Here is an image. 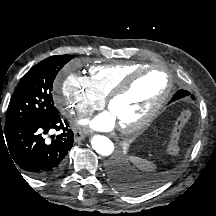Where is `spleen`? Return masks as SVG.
Returning a JSON list of instances; mask_svg holds the SVG:
<instances>
[{"instance_id":"spleen-1","label":"spleen","mask_w":216,"mask_h":216,"mask_svg":"<svg viewBox=\"0 0 216 216\" xmlns=\"http://www.w3.org/2000/svg\"><path fill=\"white\" fill-rule=\"evenodd\" d=\"M130 160L136 164L138 166V168L142 171L145 172H149V171H153L155 169V165L145 159L139 158V157H135V156H131Z\"/></svg>"}]
</instances>
